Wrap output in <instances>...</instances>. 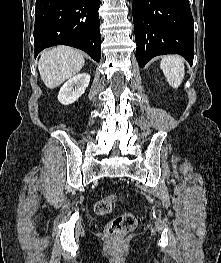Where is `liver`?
<instances>
[{"mask_svg":"<svg viewBox=\"0 0 221 263\" xmlns=\"http://www.w3.org/2000/svg\"><path fill=\"white\" fill-rule=\"evenodd\" d=\"M84 64V57L78 50L57 46L41 53L38 70L46 87L54 89L78 73Z\"/></svg>","mask_w":221,"mask_h":263,"instance_id":"liver-1","label":"liver"}]
</instances>
